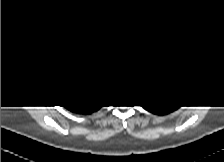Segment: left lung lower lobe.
I'll return each mask as SVG.
<instances>
[{
	"label": "left lung lower lobe",
	"mask_w": 224,
	"mask_h": 162,
	"mask_svg": "<svg viewBox=\"0 0 224 162\" xmlns=\"http://www.w3.org/2000/svg\"><path fill=\"white\" fill-rule=\"evenodd\" d=\"M185 101V98L182 96H174L172 98L154 101L152 104L142 103V106L152 113L162 115L178 109Z\"/></svg>",
	"instance_id": "obj_1"
}]
</instances>
